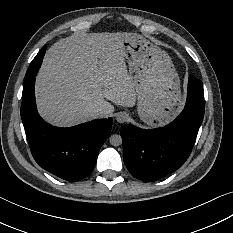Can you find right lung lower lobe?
Instances as JSON below:
<instances>
[{
    "label": "right lung lower lobe",
    "mask_w": 233,
    "mask_h": 233,
    "mask_svg": "<svg viewBox=\"0 0 233 233\" xmlns=\"http://www.w3.org/2000/svg\"><path fill=\"white\" fill-rule=\"evenodd\" d=\"M45 50L46 45L27 70L30 74L24 83L21 118L35 161L61 179L76 182L93 170L113 122L109 118L58 128L43 121L36 109L34 86Z\"/></svg>",
    "instance_id": "1"
}]
</instances>
